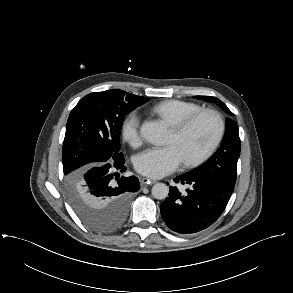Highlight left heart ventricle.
Listing matches in <instances>:
<instances>
[{
	"mask_svg": "<svg viewBox=\"0 0 293 293\" xmlns=\"http://www.w3.org/2000/svg\"><path fill=\"white\" fill-rule=\"evenodd\" d=\"M216 130L215 118L211 115H203L180 135L175 134L171 129L165 144L175 145L183 160L194 158L208 147Z\"/></svg>",
	"mask_w": 293,
	"mask_h": 293,
	"instance_id": "left-heart-ventricle-1",
	"label": "left heart ventricle"
}]
</instances>
